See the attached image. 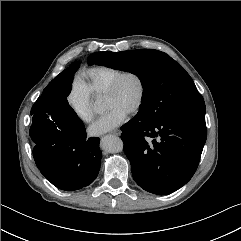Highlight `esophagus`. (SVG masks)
<instances>
[{"mask_svg": "<svg viewBox=\"0 0 241 241\" xmlns=\"http://www.w3.org/2000/svg\"><path fill=\"white\" fill-rule=\"evenodd\" d=\"M120 133H121L120 130H114L111 132V134H113V135H119Z\"/></svg>", "mask_w": 241, "mask_h": 241, "instance_id": "obj_1", "label": "esophagus"}]
</instances>
